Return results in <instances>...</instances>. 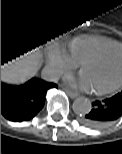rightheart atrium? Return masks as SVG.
Here are the masks:
<instances>
[{"label":"right heart atrium","instance_id":"obj_1","mask_svg":"<svg viewBox=\"0 0 122 154\" xmlns=\"http://www.w3.org/2000/svg\"><path fill=\"white\" fill-rule=\"evenodd\" d=\"M77 65L78 62L64 46L55 44L48 50L47 71L51 77H59L64 72L77 67Z\"/></svg>","mask_w":122,"mask_h":154}]
</instances>
